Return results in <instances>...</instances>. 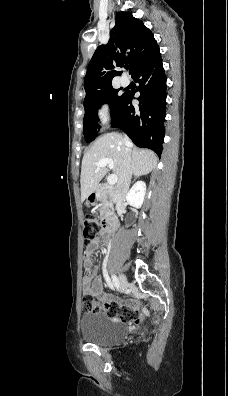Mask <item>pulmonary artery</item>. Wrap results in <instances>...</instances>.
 I'll use <instances>...</instances> for the list:
<instances>
[{
	"label": "pulmonary artery",
	"mask_w": 228,
	"mask_h": 396,
	"mask_svg": "<svg viewBox=\"0 0 228 396\" xmlns=\"http://www.w3.org/2000/svg\"><path fill=\"white\" fill-rule=\"evenodd\" d=\"M129 83H130V80H129V78L127 76H122L121 77V85L122 86H124V87L128 86Z\"/></svg>",
	"instance_id": "obj_1"
}]
</instances>
